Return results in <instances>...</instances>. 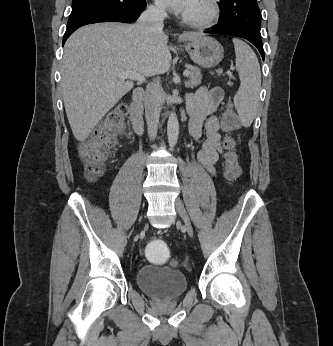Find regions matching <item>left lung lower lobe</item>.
I'll list each match as a JSON object with an SVG mask.
<instances>
[{"instance_id": "obj_1", "label": "left lung lower lobe", "mask_w": 333, "mask_h": 346, "mask_svg": "<svg viewBox=\"0 0 333 346\" xmlns=\"http://www.w3.org/2000/svg\"><path fill=\"white\" fill-rule=\"evenodd\" d=\"M205 33L232 35L244 38L256 46L264 60V49L261 35L246 27L236 24H221L212 30L205 31Z\"/></svg>"}]
</instances>
